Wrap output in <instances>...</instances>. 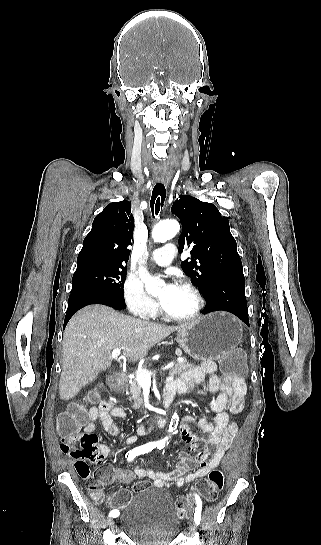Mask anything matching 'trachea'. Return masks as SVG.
Here are the masks:
<instances>
[{"label": "trachea", "instance_id": "obj_1", "mask_svg": "<svg viewBox=\"0 0 321 545\" xmlns=\"http://www.w3.org/2000/svg\"><path fill=\"white\" fill-rule=\"evenodd\" d=\"M154 181H155V184H154L155 187L153 189L152 197L150 201V206H151L153 216L158 215L160 208L163 207L165 196H166V190H165V187L163 186L164 185L163 183L165 181L164 176L161 174H158L155 176Z\"/></svg>", "mask_w": 321, "mask_h": 545}]
</instances>
